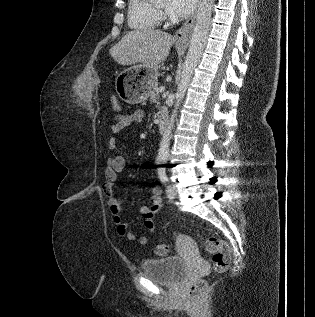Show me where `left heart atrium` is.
Segmentation results:
<instances>
[{
	"label": "left heart atrium",
	"instance_id": "left-heart-atrium-1",
	"mask_svg": "<svg viewBox=\"0 0 315 317\" xmlns=\"http://www.w3.org/2000/svg\"><path fill=\"white\" fill-rule=\"evenodd\" d=\"M197 0H168L167 13L170 16L184 18L188 16L195 7Z\"/></svg>",
	"mask_w": 315,
	"mask_h": 317
}]
</instances>
